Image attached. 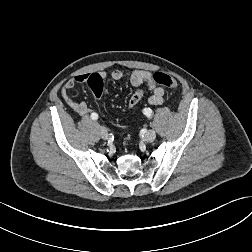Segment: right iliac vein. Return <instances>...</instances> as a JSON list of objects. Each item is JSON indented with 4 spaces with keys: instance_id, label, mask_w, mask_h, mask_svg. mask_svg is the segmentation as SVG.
<instances>
[{
    "instance_id": "1",
    "label": "right iliac vein",
    "mask_w": 252,
    "mask_h": 252,
    "mask_svg": "<svg viewBox=\"0 0 252 252\" xmlns=\"http://www.w3.org/2000/svg\"><path fill=\"white\" fill-rule=\"evenodd\" d=\"M100 134H101L102 139H104V140H107L109 138V134H108L106 128H104V127L101 128Z\"/></svg>"
}]
</instances>
